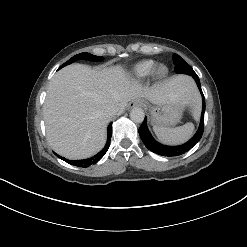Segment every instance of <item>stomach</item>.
I'll return each instance as SVG.
<instances>
[{"instance_id": "1", "label": "stomach", "mask_w": 247, "mask_h": 247, "mask_svg": "<svg viewBox=\"0 0 247 247\" xmlns=\"http://www.w3.org/2000/svg\"><path fill=\"white\" fill-rule=\"evenodd\" d=\"M151 114V123L153 126L169 127L180 122L186 104L178 99L161 104H146Z\"/></svg>"}]
</instances>
